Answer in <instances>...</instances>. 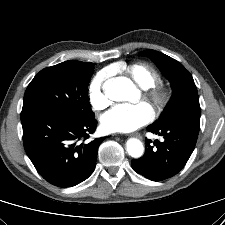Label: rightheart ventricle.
I'll use <instances>...</instances> for the list:
<instances>
[{"label":"right heart ventricle","mask_w":225,"mask_h":225,"mask_svg":"<svg viewBox=\"0 0 225 225\" xmlns=\"http://www.w3.org/2000/svg\"><path fill=\"white\" fill-rule=\"evenodd\" d=\"M124 71L143 89L155 86L160 81L159 73L145 63H133Z\"/></svg>","instance_id":"obj_1"}]
</instances>
